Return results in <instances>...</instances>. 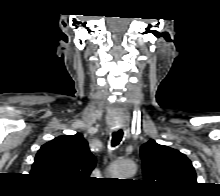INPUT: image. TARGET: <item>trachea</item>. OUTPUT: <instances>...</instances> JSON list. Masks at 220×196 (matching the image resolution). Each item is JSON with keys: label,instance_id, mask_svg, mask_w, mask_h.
I'll list each match as a JSON object with an SVG mask.
<instances>
[{"label": "trachea", "instance_id": "obj_1", "mask_svg": "<svg viewBox=\"0 0 220 196\" xmlns=\"http://www.w3.org/2000/svg\"><path fill=\"white\" fill-rule=\"evenodd\" d=\"M122 138L123 131L121 129L113 132L111 141L112 146H117L121 142Z\"/></svg>", "mask_w": 220, "mask_h": 196}]
</instances>
